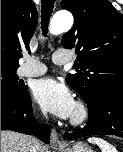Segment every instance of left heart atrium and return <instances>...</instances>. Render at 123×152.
<instances>
[{
    "label": "left heart atrium",
    "instance_id": "left-heart-atrium-1",
    "mask_svg": "<svg viewBox=\"0 0 123 152\" xmlns=\"http://www.w3.org/2000/svg\"><path fill=\"white\" fill-rule=\"evenodd\" d=\"M35 101L45 110L60 118L70 117L75 109L74 99L68 88L53 78L36 82L33 90Z\"/></svg>",
    "mask_w": 123,
    "mask_h": 152
}]
</instances>
